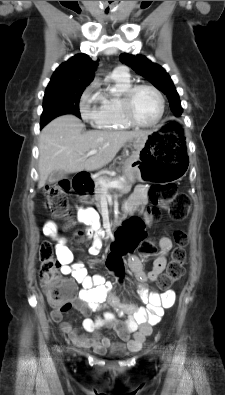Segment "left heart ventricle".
I'll use <instances>...</instances> for the list:
<instances>
[{
    "instance_id": "b2bd125f",
    "label": "left heart ventricle",
    "mask_w": 225,
    "mask_h": 395,
    "mask_svg": "<svg viewBox=\"0 0 225 395\" xmlns=\"http://www.w3.org/2000/svg\"><path fill=\"white\" fill-rule=\"evenodd\" d=\"M132 111L139 122H154L160 111L157 96L148 89H140L133 98Z\"/></svg>"
}]
</instances>
